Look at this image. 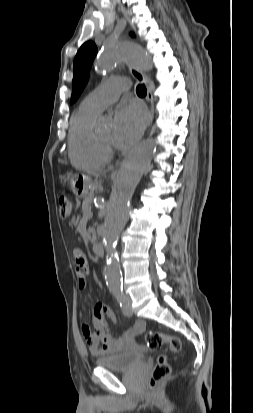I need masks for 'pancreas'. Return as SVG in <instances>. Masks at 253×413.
<instances>
[{
  "instance_id": "pancreas-1",
  "label": "pancreas",
  "mask_w": 253,
  "mask_h": 413,
  "mask_svg": "<svg viewBox=\"0 0 253 413\" xmlns=\"http://www.w3.org/2000/svg\"><path fill=\"white\" fill-rule=\"evenodd\" d=\"M93 198H94V194H93L92 192L89 193V194L85 197V199H84V201H83V205H82L84 210H89V207H90V205H91V203H92ZM94 241H95V232L92 231V239H91V242H94Z\"/></svg>"
}]
</instances>
